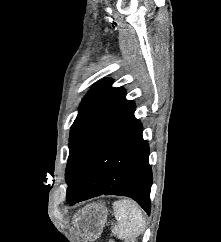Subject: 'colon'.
I'll use <instances>...</instances> for the list:
<instances>
[{"mask_svg":"<svg viewBox=\"0 0 221 242\" xmlns=\"http://www.w3.org/2000/svg\"><path fill=\"white\" fill-rule=\"evenodd\" d=\"M109 242H113V241H109ZM131 242H135V241H131Z\"/></svg>","mask_w":221,"mask_h":242,"instance_id":"5ec220e1","label":"colon"}]
</instances>
